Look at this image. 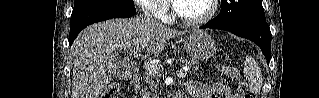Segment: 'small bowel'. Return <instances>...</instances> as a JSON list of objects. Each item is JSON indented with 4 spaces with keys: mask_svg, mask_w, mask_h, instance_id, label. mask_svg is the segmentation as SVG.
<instances>
[{
    "mask_svg": "<svg viewBox=\"0 0 319 98\" xmlns=\"http://www.w3.org/2000/svg\"><path fill=\"white\" fill-rule=\"evenodd\" d=\"M187 89L193 98H240L232 93L231 88L222 82L201 84L195 80L187 82Z\"/></svg>",
    "mask_w": 319,
    "mask_h": 98,
    "instance_id": "c3829d8e",
    "label": "small bowel"
}]
</instances>
